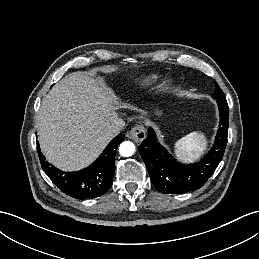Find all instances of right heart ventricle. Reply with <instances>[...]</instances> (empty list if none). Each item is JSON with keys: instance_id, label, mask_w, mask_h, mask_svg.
I'll use <instances>...</instances> for the list:
<instances>
[{"instance_id": "right-heart-ventricle-1", "label": "right heart ventricle", "mask_w": 259, "mask_h": 259, "mask_svg": "<svg viewBox=\"0 0 259 259\" xmlns=\"http://www.w3.org/2000/svg\"><path fill=\"white\" fill-rule=\"evenodd\" d=\"M155 78H156V76H150V77L148 78V81L152 82V81L155 80Z\"/></svg>"}]
</instances>
